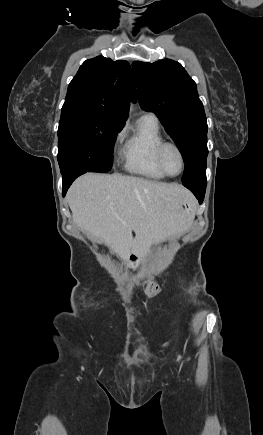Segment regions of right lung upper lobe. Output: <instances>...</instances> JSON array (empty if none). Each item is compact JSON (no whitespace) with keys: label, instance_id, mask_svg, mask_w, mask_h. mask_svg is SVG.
I'll use <instances>...</instances> for the list:
<instances>
[{"label":"right lung upper lobe","instance_id":"right-lung-upper-lobe-1","mask_svg":"<svg viewBox=\"0 0 263 435\" xmlns=\"http://www.w3.org/2000/svg\"><path fill=\"white\" fill-rule=\"evenodd\" d=\"M136 101L130 64L98 56L86 60L68 86L62 107L91 110L122 126Z\"/></svg>","mask_w":263,"mask_h":435}]
</instances>
